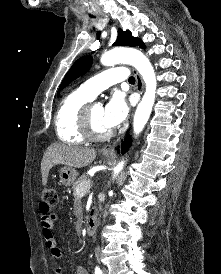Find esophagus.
<instances>
[{
    "label": "esophagus",
    "mask_w": 221,
    "mask_h": 274,
    "mask_svg": "<svg viewBox=\"0 0 221 274\" xmlns=\"http://www.w3.org/2000/svg\"><path fill=\"white\" fill-rule=\"evenodd\" d=\"M132 71H133V74H134L135 79H136V88H137V91L140 94H142L143 93V89H144L142 78H141V76L139 75V73L135 69H133ZM115 148H116V144H108V145H105L102 148V152L106 153V154H115Z\"/></svg>",
    "instance_id": "34e87169"
}]
</instances>
